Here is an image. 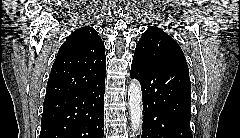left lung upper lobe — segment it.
I'll list each match as a JSON object with an SVG mask.
<instances>
[{
    "label": "left lung upper lobe",
    "mask_w": 240,
    "mask_h": 138,
    "mask_svg": "<svg viewBox=\"0 0 240 138\" xmlns=\"http://www.w3.org/2000/svg\"><path fill=\"white\" fill-rule=\"evenodd\" d=\"M134 58L146 64L187 66L183 51L177 42L163 30L153 26L142 34Z\"/></svg>",
    "instance_id": "5c2ea615"
}]
</instances>
